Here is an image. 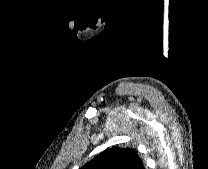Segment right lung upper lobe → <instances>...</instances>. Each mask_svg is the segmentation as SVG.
I'll return each mask as SVG.
<instances>
[{
    "instance_id": "cb5924a9",
    "label": "right lung upper lobe",
    "mask_w": 208,
    "mask_h": 169,
    "mask_svg": "<svg viewBox=\"0 0 208 169\" xmlns=\"http://www.w3.org/2000/svg\"><path fill=\"white\" fill-rule=\"evenodd\" d=\"M80 169H145L136 151L112 147L101 152Z\"/></svg>"
}]
</instances>
